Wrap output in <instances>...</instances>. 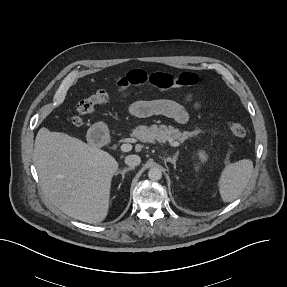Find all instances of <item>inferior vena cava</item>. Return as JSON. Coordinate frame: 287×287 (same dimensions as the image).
Wrapping results in <instances>:
<instances>
[{
	"mask_svg": "<svg viewBox=\"0 0 287 287\" xmlns=\"http://www.w3.org/2000/svg\"><path fill=\"white\" fill-rule=\"evenodd\" d=\"M141 163V158L138 155H128L125 157V164L130 167L138 166Z\"/></svg>",
	"mask_w": 287,
	"mask_h": 287,
	"instance_id": "inferior-vena-cava-1",
	"label": "inferior vena cava"
}]
</instances>
